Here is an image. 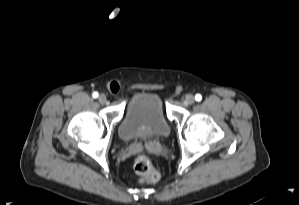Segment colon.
I'll use <instances>...</instances> for the list:
<instances>
[{
    "instance_id": "obj_1",
    "label": "colon",
    "mask_w": 299,
    "mask_h": 205,
    "mask_svg": "<svg viewBox=\"0 0 299 205\" xmlns=\"http://www.w3.org/2000/svg\"><path fill=\"white\" fill-rule=\"evenodd\" d=\"M134 171L144 183H155L159 180V172L153 167L148 156L140 154L135 158Z\"/></svg>"
}]
</instances>
